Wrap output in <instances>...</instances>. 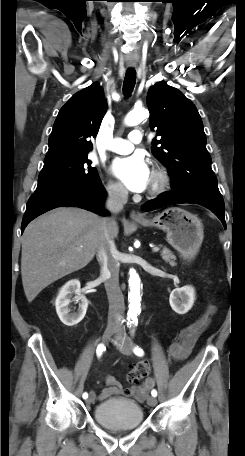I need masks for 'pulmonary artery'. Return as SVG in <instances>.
Masks as SVG:
<instances>
[{
	"mask_svg": "<svg viewBox=\"0 0 245 456\" xmlns=\"http://www.w3.org/2000/svg\"><path fill=\"white\" fill-rule=\"evenodd\" d=\"M142 140V133L139 130H133L129 133L127 139L114 138L108 149L112 152L119 154L130 153L134 149V145L140 143Z\"/></svg>",
	"mask_w": 245,
	"mask_h": 456,
	"instance_id": "1",
	"label": "pulmonary artery"
}]
</instances>
